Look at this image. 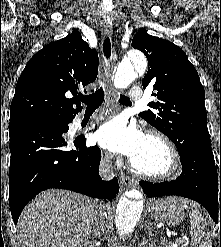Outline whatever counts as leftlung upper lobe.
<instances>
[{"instance_id":"5c2ea615","label":"left lung upper lobe","mask_w":221,"mask_h":247,"mask_svg":"<svg viewBox=\"0 0 221 247\" xmlns=\"http://www.w3.org/2000/svg\"><path fill=\"white\" fill-rule=\"evenodd\" d=\"M131 46L148 60L142 85L153 86L158 98L140 114L148 123L169 137L180 155L198 141L208 139L205 92L198 73L180 47L168 40L137 32Z\"/></svg>"}]
</instances>
